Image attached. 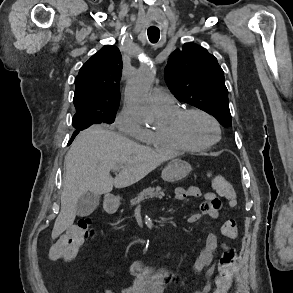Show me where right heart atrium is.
Masks as SVG:
<instances>
[{
    "instance_id": "right-heart-atrium-1",
    "label": "right heart atrium",
    "mask_w": 293,
    "mask_h": 293,
    "mask_svg": "<svg viewBox=\"0 0 293 293\" xmlns=\"http://www.w3.org/2000/svg\"><path fill=\"white\" fill-rule=\"evenodd\" d=\"M114 124L119 131L137 140L144 141L149 136L150 131L143 127L126 107L119 112Z\"/></svg>"
}]
</instances>
